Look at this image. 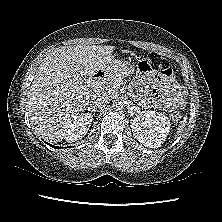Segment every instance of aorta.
Returning a JSON list of instances; mask_svg holds the SVG:
<instances>
[{"label":"aorta","instance_id":"aorta-1","mask_svg":"<svg viewBox=\"0 0 222 222\" xmlns=\"http://www.w3.org/2000/svg\"><path fill=\"white\" fill-rule=\"evenodd\" d=\"M112 106L115 110H121L123 108V102L120 99H116L113 101Z\"/></svg>","mask_w":222,"mask_h":222}]
</instances>
